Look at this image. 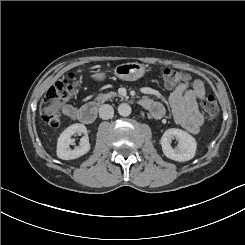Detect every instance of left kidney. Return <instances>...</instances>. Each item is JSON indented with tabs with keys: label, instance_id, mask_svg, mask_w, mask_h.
<instances>
[{
	"label": "left kidney",
	"instance_id": "5707ae66",
	"mask_svg": "<svg viewBox=\"0 0 245 245\" xmlns=\"http://www.w3.org/2000/svg\"><path fill=\"white\" fill-rule=\"evenodd\" d=\"M174 137H176L177 140V149H173L170 145V141ZM161 146L163 154L167 158L177 162H184L194 158L197 142L188 132L178 128H170L165 131L161 139Z\"/></svg>",
	"mask_w": 245,
	"mask_h": 245
}]
</instances>
